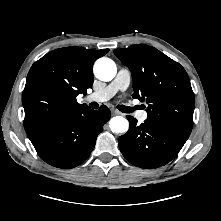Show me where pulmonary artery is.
<instances>
[{
    "label": "pulmonary artery",
    "instance_id": "1",
    "mask_svg": "<svg viewBox=\"0 0 221 221\" xmlns=\"http://www.w3.org/2000/svg\"><path fill=\"white\" fill-rule=\"evenodd\" d=\"M131 74L128 69L122 68L118 71L115 79L107 85L105 88L93 92L87 96L88 101L104 102L112 98L118 91H124L130 84ZM138 119L145 121L148 117L147 112L140 111L138 113Z\"/></svg>",
    "mask_w": 221,
    "mask_h": 221
}]
</instances>
